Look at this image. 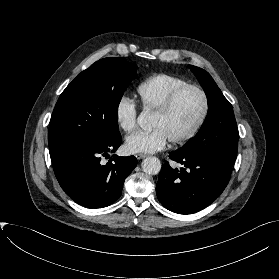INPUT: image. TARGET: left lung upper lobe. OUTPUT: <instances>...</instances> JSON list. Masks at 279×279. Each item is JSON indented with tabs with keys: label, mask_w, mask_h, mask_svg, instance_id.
Instances as JSON below:
<instances>
[{
	"label": "left lung upper lobe",
	"mask_w": 279,
	"mask_h": 279,
	"mask_svg": "<svg viewBox=\"0 0 279 279\" xmlns=\"http://www.w3.org/2000/svg\"><path fill=\"white\" fill-rule=\"evenodd\" d=\"M190 68L205 91L209 110L196 136L176 152L190 158L214 157L233 166L239 133L232 105L208 72L192 65Z\"/></svg>",
	"instance_id": "5c2ea615"
}]
</instances>
